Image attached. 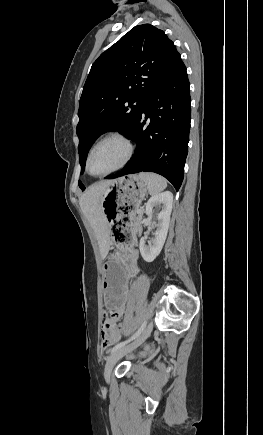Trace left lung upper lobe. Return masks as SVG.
<instances>
[{"instance_id": "5c2ea615", "label": "left lung upper lobe", "mask_w": 263, "mask_h": 435, "mask_svg": "<svg viewBox=\"0 0 263 435\" xmlns=\"http://www.w3.org/2000/svg\"><path fill=\"white\" fill-rule=\"evenodd\" d=\"M181 61L173 42L150 25L133 27L93 63L79 105V161L85 169L87 153L104 132L130 136L141 110ZM84 190V185L79 182Z\"/></svg>"}]
</instances>
